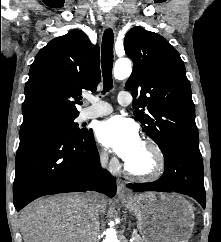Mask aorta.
Wrapping results in <instances>:
<instances>
[{
	"instance_id": "obj_1",
	"label": "aorta",
	"mask_w": 221,
	"mask_h": 242,
	"mask_svg": "<svg viewBox=\"0 0 221 242\" xmlns=\"http://www.w3.org/2000/svg\"><path fill=\"white\" fill-rule=\"evenodd\" d=\"M132 73L131 61L127 58H122L116 61L114 67V78L117 80H124ZM103 242H119L117 233L114 228H108L105 231V239Z\"/></svg>"
}]
</instances>
